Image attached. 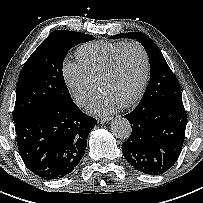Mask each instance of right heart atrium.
<instances>
[{
	"label": "right heart atrium",
	"instance_id": "1",
	"mask_svg": "<svg viewBox=\"0 0 203 203\" xmlns=\"http://www.w3.org/2000/svg\"><path fill=\"white\" fill-rule=\"evenodd\" d=\"M64 81L79 105H85L97 88V81L78 62L67 60L62 69Z\"/></svg>",
	"mask_w": 203,
	"mask_h": 203
}]
</instances>
